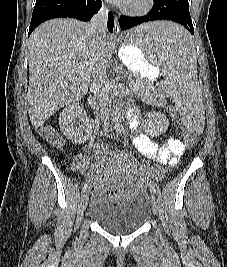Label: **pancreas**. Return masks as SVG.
I'll use <instances>...</instances> for the list:
<instances>
[{
	"instance_id": "pancreas-1",
	"label": "pancreas",
	"mask_w": 227,
	"mask_h": 267,
	"mask_svg": "<svg viewBox=\"0 0 227 267\" xmlns=\"http://www.w3.org/2000/svg\"><path fill=\"white\" fill-rule=\"evenodd\" d=\"M131 87L133 90L143 94L145 92L152 91L154 89L152 83L148 80H144L143 78H137L131 82Z\"/></svg>"
}]
</instances>
